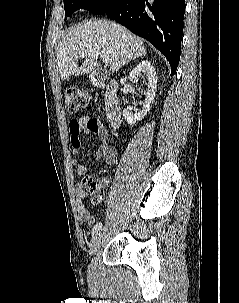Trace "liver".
Masks as SVG:
<instances>
[{"label": "liver", "instance_id": "obj_1", "mask_svg": "<svg viewBox=\"0 0 239 303\" xmlns=\"http://www.w3.org/2000/svg\"><path fill=\"white\" fill-rule=\"evenodd\" d=\"M56 53L58 71L65 80L73 74L79 76L93 71L99 55L112 60L110 71H118L131 60L146 55V48L143 39L125 27L92 19L72 27L59 41ZM81 57L84 62L79 66Z\"/></svg>", "mask_w": 239, "mask_h": 303}]
</instances>
